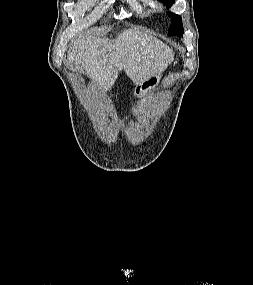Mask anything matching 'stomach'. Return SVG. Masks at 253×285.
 Masks as SVG:
<instances>
[{"instance_id":"0dacf381","label":"stomach","mask_w":253,"mask_h":285,"mask_svg":"<svg viewBox=\"0 0 253 285\" xmlns=\"http://www.w3.org/2000/svg\"><path fill=\"white\" fill-rule=\"evenodd\" d=\"M162 72L152 75L151 77L137 85L134 91L135 96L144 97L152 90H154L161 82V78L163 76Z\"/></svg>"}]
</instances>
